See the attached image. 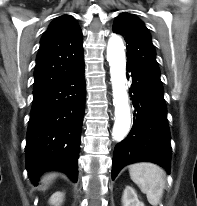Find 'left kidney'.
Returning a JSON list of instances; mask_svg holds the SVG:
<instances>
[{
  "instance_id": "5707ae66",
  "label": "left kidney",
  "mask_w": 197,
  "mask_h": 206,
  "mask_svg": "<svg viewBox=\"0 0 197 206\" xmlns=\"http://www.w3.org/2000/svg\"><path fill=\"white\" fill-rule=\"evenodd\" d=\"M123 206H145L144 203L139 201L136 191L127 186L124 190L122 197Z\"/></svg>"
}]
</instances>
